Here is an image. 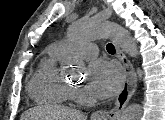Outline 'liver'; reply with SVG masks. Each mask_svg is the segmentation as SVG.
<instances>
[{"label":"liver","instance_id":"1","mask_svg":"<svg viewBox=\"0 0 165 120\" xmlns=\"http://www.w3.org/2000/svg\"><path fill=\"white\" fill-rule=\"evenodd\" d=\"M47 113L50 115H47ZM40 118H56L55 120H85V117L79 111L58 107L48 111L42 107H35L21 115V120H38Z\"/></svg>","mask_w":165,"mask_h":120}]
</instances>
